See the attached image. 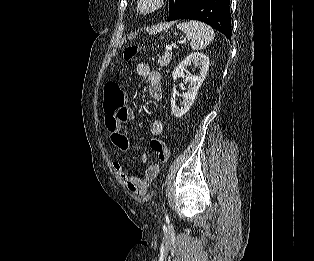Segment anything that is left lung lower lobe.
Returning a JSON list of instances; mask_svg holds the SVG:
<instances>
[{"label":"left lung lower lobe","mask_w":314,"mask_h":261,"mask_svg":"<svg viewBox=\"0 0 314 261\" xmlns=\"http://www.w3.org/2000/svg\"><path fill=\"white\" fill-rule=\"evenodd\" d=\"M230 0H184L168 21L193 19L205 22L231 39Z\"/></svg>","instance_id":"left-lung-lower-lobe-1"}]
</instances>
